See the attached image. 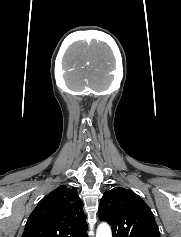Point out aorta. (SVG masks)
Returning <instances> with one entry per match:
<instances>
[{
  "label": "aorta",
  "mask_w": 181,
  "mask_h": 237,
  "mask_svg": "<svg viewBox=\"0 0 181 237\" xmlns=\"http://www.w3.org/2000/svg\"><path fill=\"white\" fill-rule=\"evenodd\" d=\"M96 237H112L109 225L106 223L100 224L97 229Z\"/></svg>",
  "instance_id": "1"
}]
</instances>
